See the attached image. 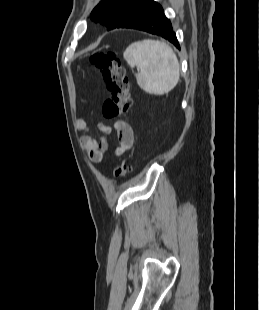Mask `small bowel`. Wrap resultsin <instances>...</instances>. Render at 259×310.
Masks as SVG:
<instances>
[{
    "instance_id": "1",
    "label": "small bowel",
    "mask_w": 259,
    "mask_h": 310,
    "mask_svg": "<svg viewBox=\"0 0 259 310\" xmlns=\"http://www.w3.org/2000/svg\"><path fill=\"white\" fill-rule=\"evenodd\" d=\"M75 126L78 131L85 132L89 129L87 122L83 119H77ZM99 128L105 135H108L112 132L111 127L103 124H100ZM115 128L117 130L119 139V148L117 149V154L120 155L133 147L135 136L132 127L124 121L117 122L115 124ZM80 145L88 154L89 159L96 163L103 159V156L108 147V141L105 136H102L97 140L90 135H83L80 138Z\"/></svg>"
}]
</instances>
